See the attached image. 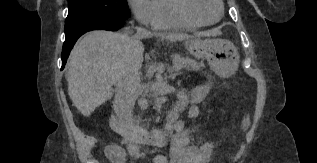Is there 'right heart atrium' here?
<instances>
[{
  "label": "right heart atrium",
  "instance_id": "d8ad5b80",
  "mask_svg": "<svg viewBox=\"0 0 317 163\" xmlns=\"http://www.w3.org/2000/svg\"><path fill=\"white\" fill-rule=\"evenodd\" d=\"M134 17L145 26H153L157 18L156 0H127Z\"/></svg>",
  "mask_w": 317,
  "mask_h": 163
}]
</instances>
